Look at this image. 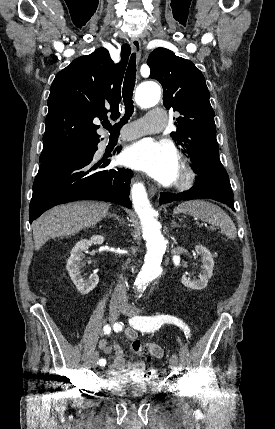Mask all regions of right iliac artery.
Wrapping results in <instances>:
<instances>
[{"mask_svg":"<svg viewBox=\"0 0 275 429\" xmlns=\"http://www.w3.org/2000/svg\"><path fill=\"white\" fill-rule=\"evenodd\" d=\"M103 331H104V333L105 334H110V332H111V327L109 326V325H105L104 326V328H103ZM98 363V362H97ZM105 364H106V360L105 359H103V358H101L100 360H99V365L100 366H105Z\"/></svg>","mask_w":275,"mask_h":429,"instance_id":"82829eb1","label":"right iliac artery"}]
</instances>
